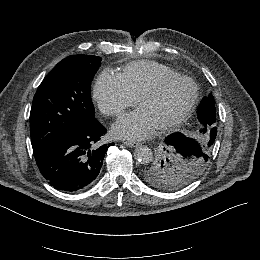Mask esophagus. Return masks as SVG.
Wrapping results in <instances>:
<instances>
[{
  "label": "esophagus",
  "instance_id": "esophagus-1",
  "mask_svg": "<svg viewBox=\"0 0 260 260\" xmlns=\"http://www.w3.org/2000/svg\"><path fill=\"white\" fill-rule=\"evenodd\" d=\"M123 144H125L128 147H138L140 144L135 141H123Z\"/></svg>",
  "mask_w": 260,
  "mask_h": 260
}]
</instances>
